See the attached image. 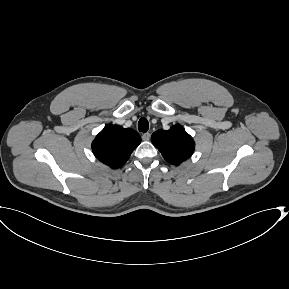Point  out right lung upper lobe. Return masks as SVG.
Segmentation results:
<instances>
[{"instance_id":"1","label":"right lung upper lobe","mask_w":289,"mask_h":289,"mask_svg":"<svg viewBox=\"0 0 289 289\" xmlns=\"http://www.w3.org/2000/svg\"><path fill=\"white\" fill-rule=\"evenodd\" d=\"M140 142L141 137L135 130L108 125L94 139L92 150L99 161L117 169L127 162Z\"/></svg>"}]
</instances>
